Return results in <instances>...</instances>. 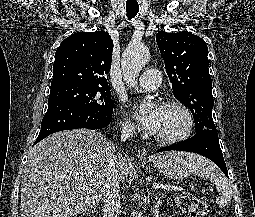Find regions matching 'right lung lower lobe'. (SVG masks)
<instances>
[{
  "instance_id": "1",
  "label": "right lung lower lobe",
  "mask_w": 255,
  "mask_h": 217,
  "mask_svg": "<svg viewBox=\"0 0 255 217\" xmlns=\"http://www.w3.org/2000/svg\"><path fill=\"white\" fill-rule=\"evenodd\" d=\"M112 119V114H102L79 105L57 101L48 104L41 130L37 140L38 143L48 135L77 128L102 129L106 127Z\"/></svg>"
}]
</instances>
